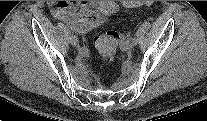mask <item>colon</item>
I'll return each mask as SVG.
<instances>
[{
	"label": "colon",
	"instance_id": "1",
	"mask_svg": "<svg viewBox=\"0 0 207 121\" xmlns=\"http://www.w3.org/2000/svg\"><path fill=\"white\" fill-rule=\"evenodd\" d=\"M141 3L142 2L140 1H130L127 5L130 8H135ZM119 37L120 36L116 31L99 33L94 36V45L105 61L110 62L114 60L116 56Z\"/></svg>",
	"mask_w": 207,
	"mask_h": 121
}]
</instances>
